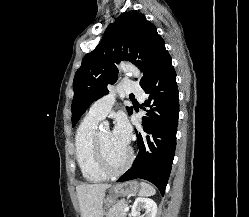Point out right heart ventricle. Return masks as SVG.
Segmentation results:
<instances>
[{
  "label": "right heart ventricle",
  "instance_id": "1",
  "mask_svg": "<svg viewBox=\"0 0 249 217\" xmlns=\"http://www.w3.org/2000/svg\"><path fill=\"white\" fill-rule=\"evenodd\" d=\"M100 120L89 116L83 118L75 135V157L83 178L97 183L107 179L97 160L95 151V135Z\"/></svg>",
  "mask_w": 249,
  "mask_h": 217
}]
</instances>
